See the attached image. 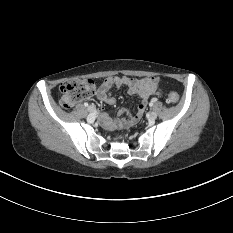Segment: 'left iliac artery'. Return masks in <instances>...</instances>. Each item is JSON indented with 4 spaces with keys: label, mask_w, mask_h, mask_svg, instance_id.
I'll return each mask as SVG.
<instances>
[{
    "label": "left iliac artery",
    "mask_w": 233,
    "mask_h": 233,
    "mask_svg": "<svg viewBox=\"0 0 233 233\" xmlns=\"http://www.w3.org/2000/svg\"><path fill=\"white\" fill-rule=\"evenodd\" d=\"M149 106L152 107L153 106V101L149 103Z\"/></svg>",
    "instance_id": "1"
}]
</instances>
